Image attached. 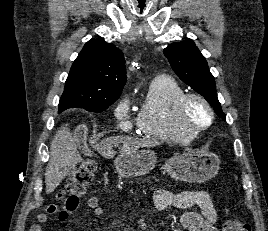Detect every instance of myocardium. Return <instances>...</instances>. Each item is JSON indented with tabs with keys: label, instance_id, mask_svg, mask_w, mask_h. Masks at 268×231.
<instances>
[{
	"label": "myocardium",
	"instance_id": "obj_1",
	"mask_svg": "<svg viewBox=\"0 0 268 231\" xmlns=\"http://www.w3.org/2000/svg\"><path fill=\"white\" fill-rule=\"evenodd\" d=\"M192 102H198L203 107H205L209 115V120L207 121V123L197 125L195 127H190L188 125L185 116L187 113L188 106ZM175 118L178 128L189 138H193L202 131L206 130L212 124L214 118V112L210 103L203 96L196 93H187L182 95L176 103Z\"/></svg>",
	"mask_w": 268,
	"mask_h": 231
}]
</instances>
